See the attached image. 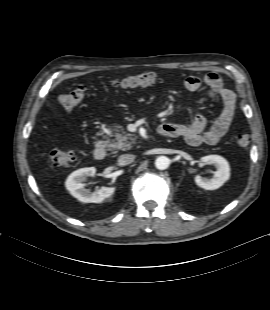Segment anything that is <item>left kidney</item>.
Returning a JSON list of instances; mask_svg holds the SVG:
<instances>
[{"label": "left kidney", "instance_id": "1", "mask_svg": "<svg viewBox=\"0 0 270 310\" xmlns=\"http://www.w3.org/2000/svg\"><path fill=\"white\" fill-rule=\"evenodd\" d=\"M206 164L215 166L212 178H205L197 175L195 183L205 190H216L220 188L230 178V166L226 159L219 155H208L201 158Z\"/></svg>", "mask_w": 270, "mask_h": 310}]
</instances>
